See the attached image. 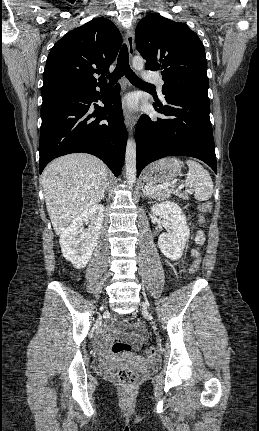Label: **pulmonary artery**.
<instances>
[{
    "instance_id": "e3ab8cb5",
    "label": "pulmonary artery",
    "mask_w": 259,
    "mask_h": 431,
    "mask_svg": "<svg viewBox=\"0 0 259 431\" xmlns=\"http://www.w3.org/2000/svg\"><path fill=\"white\" fill-rule=\"evenodd\" d=\"M143 77L147 82L156 83L159 86V91L161 92V87H162L163 81L158 75L150 73V72H145L143 74Z\"/></svg>"
}]
</instances>
